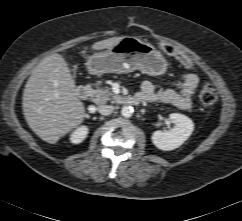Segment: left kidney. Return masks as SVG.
I'll return each instance as SVG.
<instances>
[{"mask_svg":"<svg viewBox=\"0 0 242 221\" xmlns=\"http://www.w3.org/2000/svg\"><path fill=\"white\" fill-rule=\"evenodd\" d=\"M169 117L176 126L168 131H155L151 137L152 143L163 151L180 147L194 130V123L189 117L180 113H172Z\"/></svg>","mask_w":242,"mask_h":221,"instance_id":"obj_1","label":"left kidney"}]
</instances>
